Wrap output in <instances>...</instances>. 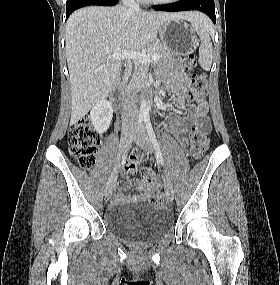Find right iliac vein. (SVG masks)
<instances>
[{
  "instance_id": "right-iliac-vein-1",
  "label": "right iliac vein",
  "mask_w": 280,
  "mask_h": 285,
  "mask_svg": "<svg viewBox=\"0 0 280 285\" xmlns=\"http://www.w3.org/2000/svg\"><path fill=\"white\" fill-rule=\"evenodd\" d=\"M131 137H132V132L123 133V135L121 137V142H120V153L121 154L124 153L128 149ZM117 176H118V171H117V168H115L113 170L110 178H109L108 183H107V187L105 190V197L106 198H109L110 195L112 194L113 189L116 185Z\"/></svg>"
}]
</instances>
